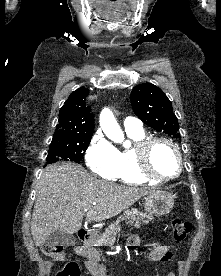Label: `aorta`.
I'll return each mask as SVG.
<instances>
[{"label": "aorta", "mask_w": 221, "mask_h": 276, "mask_svg": "<svg viewBox=\"0 0 221 276\" xmlns=\"http://www.w3.org/2000/svg\"><path fill=\"white\" fill-rule=\"evenodd\" d=\"M99 122L101 129L109 139L116 143H122L124 141L123 131L110 109L105 108L102 110Z\"/></svg>", "instance_id": "1"}]
</instances>
